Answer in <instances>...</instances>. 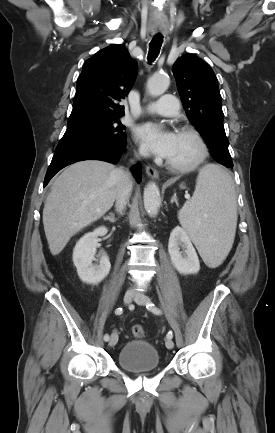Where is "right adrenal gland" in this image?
<instances>
[{
    "label": "right adrenal gland",
    "instance_id": "1",
    "mask_svg": "<svg viewBox=\"0 0 275 433\" xmlns=\"http://www.w3.org/2000/svg\"><path fill=\"white\" fill-rule=\"evenodd\" d=\"M104 220H109L111 223H114L116 221L113 213H110V216L104 217Z\"/></svg>",
    "mask_w": 275,
    "mask_h": 433
}]
</instances>
